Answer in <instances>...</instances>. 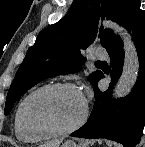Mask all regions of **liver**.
<instances>
[{"label":"liver","instance_id":"6515ba94","mask_svg":"<svg viewBox=\"0 0 145 147\" xmlns=\"http://www.w3.org/2000/svg\"><path fill=\"white\" fill-rule=\"evenodd\" d=\"M60 143H61V140H56L53 142H47L41 145L40 147H59Z\"/></svg>","mask_w":145,"mask_h":147}]
</instances>
